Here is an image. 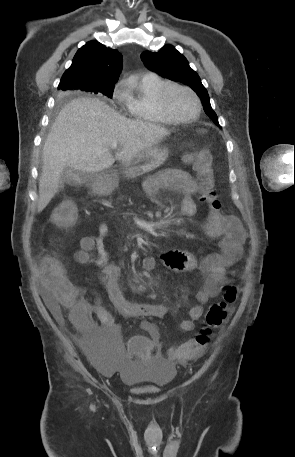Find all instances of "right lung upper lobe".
Segmentation results:
<instances>
[{"mask_svg": "<svg viewBox=\"0 0 295 457\" xmlns=\"http://www.w3.org/2000/svg\"><path fill=\"white\" fill-rule=\"evenodd\" d=\"M121 68L122 55L116 49L107 48L97 41H89L75 54L58 89L71 90L74 89L72 85L79 83L90 86L89 90L115 85Z\"/></svg>", "mask_w": 295, "mask_h": 457, "instance_id": "cb5924a9", "label": "right lung upper lobe"}]
</instances>
